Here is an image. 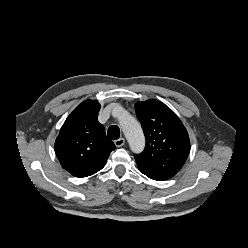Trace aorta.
I'll return each mask as SVG.
<instances>
[{
  "instance_id": "1",
  "label": "aorta",
  "mask_w": 248,
  "mask_h": 248,
  "mask_svg": "<svg viewBox=\"0 0 248 248\" xmlns=\"http://www.w3.org/2000/svg\"><path fill=\"white\" fill-rule=\"evenodd\" d=\"M113 114L119 118L123 133L134 153H140L145 147V138L139 122L122 107L114 109Z\"/></svg>"
}]
</instances>
